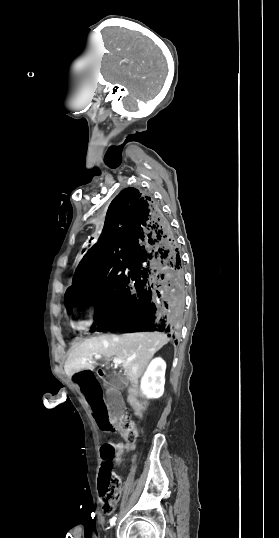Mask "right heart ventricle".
<instances>
[{
  "label": "right heart ventricle",
  "mask_w": 279,
  "mask_h": 538,
  "mask_svg": "<svg viewBox=\"0 0 279 538\" xmlns=\"http://www.w3.org/2000/svg\"><path fill=\"white\" fill-rule=\"evenodd\" d=\"M55 228L59 235L66 234L70 240H75L77 233L76 231H70L67 233L65 223L63 222V219L61 217H58L55 222ZM73 323L77 322V318L73 319Z\"/></svg>",
  "instance_id": "1"
}]
</instances>
